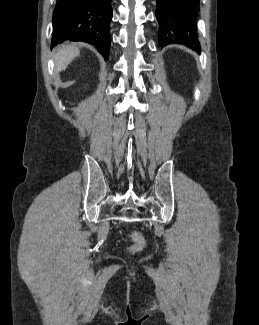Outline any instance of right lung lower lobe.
Listing matches in <instances>:
<instances>
[{
	"instance_id": "obj_1",
	"label": "right lung lower lobe",
	"mask_w": 259,
	"mask_h": 325,
	"mask_svg": "<svg viewBox=\"0 0 259 325\" xmlns=\"http://www.w3.org/2000/svg\"><path fill=\"white\" fill-rule=\"evenodd\" d=\"M111 19V0H57L51 44L66 40L87 42L108 60Z\"/></svg>"
}]
</instances>
